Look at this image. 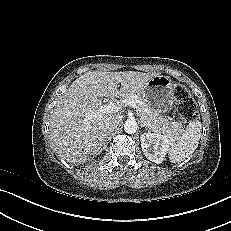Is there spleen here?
<instances>
[{
	"label": "spleen",
	"mask_w": 231,
	"mask_h": 231,
	"mask_svg": "<svg viewBox=\"0 0 231 231\" xmlns=\"http://www.w3.org/2000/svg\"><path fill=\"white\" fill-rule=\"evenodd\" d=\"M202 124L191 121L178 137H169L168 156L172 163H180L197 149L201 137Z\"/></svg>",
	"instance_id": "obj_1"
}]
</instances>
